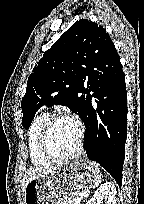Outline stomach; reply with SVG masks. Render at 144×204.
Instances as JSON below:
<instances>
[{"mask_svg": "<svg viewBox=\"0 0 144 204\" xmlns=\"http://www.w3.org/2000/svg\"><path fill=\"white\" fill-rule=\"evenodd\" d=\"M97 170L93 161L78 159L31 179L24 191V204H66L69 197L80 196L92 186Z\"/></svg>", "mask_w": 144, "mask_h": 204, "instance_id": "obj_1", "label": "stomach"}]
</instances>
